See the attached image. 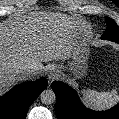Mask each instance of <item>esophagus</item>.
Segmentation results:
<instances>
[{
  "label": "esophagus",
  "instance_id": "obj_1",
  "mask_svg": "<svg viewBox=\"0 0 119 119\" xmlns=\"http://www.w3.org/2000/svg\"><path fill=\"white\" fill-rule=\"evenodd\" d=\"M56 76H57V74L54 71H52L49 73L48 78H49V80H53Z\"/></svg>",
  "mask_w": 119,
  "mask_h": 119
}]
</instances>
